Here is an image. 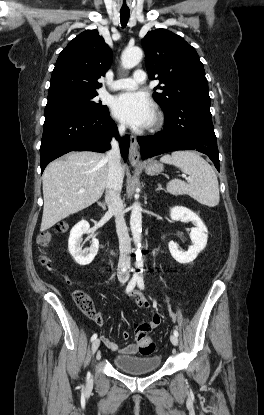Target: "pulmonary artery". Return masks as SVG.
<instances>
[{
	"mask_svg": "<svg viewBox=\"0 0 264 415\" xmlns=\"http://www.w3.org/2000/svg\"><path fill=\"white\" fill-rule=\"evenodd\" d=\"M145 81V72L138 70L131 77L122 78L112 83L113 90H133Z\"/></svg>",
	"mask_w": 264,
	"mask_h": 415,
	"instance_id": "pulmonary-artery-1",
	"label": "pulmonary artery"
}]
</instances>
